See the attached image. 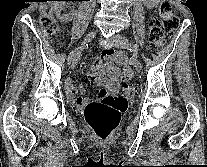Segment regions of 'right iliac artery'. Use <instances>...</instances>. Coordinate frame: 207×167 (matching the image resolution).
<instances>
[{"mask_svg":"<svg viewBox=\"0 0 207 167\" xmlns=\"http://www.w3.org/2000/svg\"><path fill=\"white\" fill-rule=\"evenodd\" d=\"M79 49H80V48H77V49L73 50V51L70 53V55H69V57H68V62H69V63L71 62V60L73 59V57L75 56V54L77 53V51H78Z\"/></svg>","mask_w":207,"mask_h":167,"instance_id":"right-iliac-artery-1","label":"right iliac artery"}]
</instances>
